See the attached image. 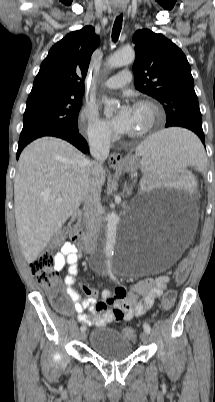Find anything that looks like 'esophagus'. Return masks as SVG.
Segmentation results:
<instances>
[{
  "label": "esophagus",
  "instance_id": "obj_1",
  "mask_svg": "<svg viewBox=\"0 0 215 402\" xmlns=\"http://www.w3.org/2000/svg\"><path fill=\"white\" fill-rule=\"evenodd\" d=\"M120 12V11H118ZM123 163V158L120 153H112L109 157V165L112 168H118L122 165Z\"/></svg>",
  "mask_w": 215,
  "mask_h": 402
}]
</instances>
